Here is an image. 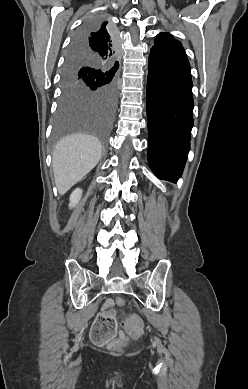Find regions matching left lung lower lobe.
<instances>
[{
  "label": "left lung lower lobe",
  "mask_w": 248,
  "mask_h": 389,
  "mask_svg": "<svg viewBox=\"0 0 248 389\" xmlns=\"http://www.w3.org/2000/svg\"><path fill=\"white\" fill-rule=\"evenodd\" d=\"M148 162L160 179L176 182L190 149L192 79L182 46H153L148 61Z\"/></svg>",
  "instance_id": "0a47b994"
}]
</instances>
